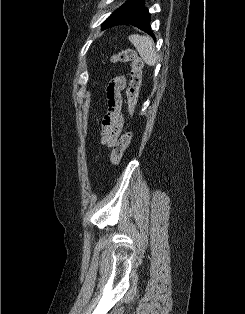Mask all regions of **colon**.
<instances>
[{
	"mask_svg": "<svg viewBox=\"0 0 245 314\" xmlns=\"http://www.w3.org/2000/svg\"><path fill=\"white\" fill-rule=\"evenodd\" d=\"M112 63L129 62L131 66L130 80L127 89L128 109L131 115L134 114L138 101L139 90L142 81V67L143 63L138 57L136 51L132 48H126L111 56ZM133 138L132 131H127L115 143L111 154L110 161L113 165H118L121 161L122 155L127 147L130 145Z\"/></svg>",
	"mask_w": 245,
	"mask_h": 314,
	"instance_id": "1",
	"label": "colon"
}]
</instances>
